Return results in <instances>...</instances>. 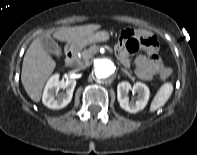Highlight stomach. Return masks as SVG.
<instances>
[{
    "instance_id": "obj_1",
    "label": "stomach",
    "mask_w": 197,
    "mask_h": 155,
    "mask_svg": "<svg viewBox=\"0 0 197 155\" xmlns=\"http://www.w3.org/2000/svg\"><path fill=\"white\" fill-rule=\"evenodd\" d=\"M109 40V33L107 31H97L92 33L81 40L74 42L71 44L73 48H83L84 46L95 43V42H103Z\"/></svg>"
}]
</instances>
